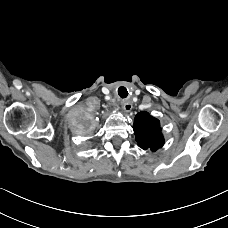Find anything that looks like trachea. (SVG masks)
Wrapping results in <instances>:
<instances>
[{"label": "trachea", "instance_id": "3493384b", "mask_svg": "<svg viewBox=\"0 0 228 228\" xmlns=\"http://www.w3.org/2000/svg\"><path fill=\"white\" fill-rule=\"evenodd\" d=\"M118 94L121 98H126L128 96V91L125 87L121 86L118 89Z\"/></svg>", "mask_w": 228, "mask_h": 228}]
</instances>
